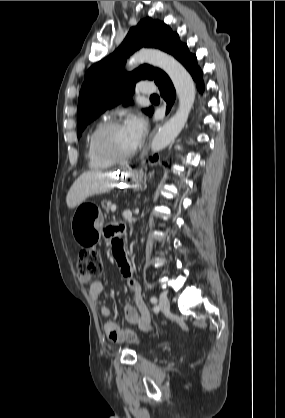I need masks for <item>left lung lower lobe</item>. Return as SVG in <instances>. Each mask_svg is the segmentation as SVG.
Wrapping results in <instances>:
<instances>
[{"instance_id": "left-lung-lower-lobe-1", "label": "left lung lower lobe", "mask_w": 285, "mask_h": 418, "mask_svg": "<svg viewBox=\"0 0 285 418\" xmlns=\"http://www.w3.org/2000/svg\"><path fill=\"white\" fill-rule=\"evenodd\" d=\"M170 54L183 64V66L189 71L195 80L199 91L203 92L204 83L202 78V71L197 65L196 56L189 52L187 45L182 43L180 40L176 41L171 48ZM155 83L158 85L161 96L167 104L166 113H168L176 97L174 86L170 78L164 72L159 75ZM150 160H158V155H154L152 158H150Z\"/></svg>"}]
</instances>
